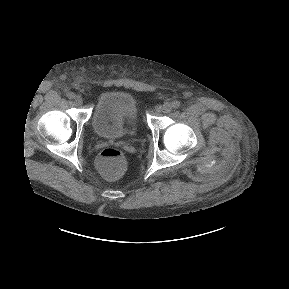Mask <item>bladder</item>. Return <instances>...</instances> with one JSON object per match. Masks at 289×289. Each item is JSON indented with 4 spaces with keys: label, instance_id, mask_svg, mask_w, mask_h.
Masks as SVG:
<instances>
[{
    "label": "bladder",
    "instance_id": "1",
    "mask_svg": "<svg viewBox=\"0 0 289 289\" xmlns=\"http://www.w3.org/2000/svg\"><path fill=\"white\" fill-rule=\"evenodd\" d=\"M92 127L105 139L134 137L138 131V110L135 99L124 92L103 94L93 113Z\"/></svg>",
    "mask_w": 289,
    "mask_h": 289
}]
</instances>
